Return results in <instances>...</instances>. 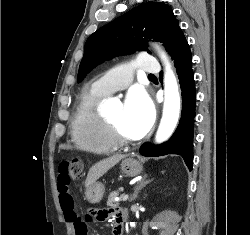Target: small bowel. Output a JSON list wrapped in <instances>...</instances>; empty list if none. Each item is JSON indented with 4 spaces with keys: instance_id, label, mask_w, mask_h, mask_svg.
Returning <instances> with one entry per match:
<instances>
[{
    "instance_id": "small-bowel-1",
    "label": "small bowel",
    "mask_w": 250,
    "mask_h": 235,
    "mask_svg": "<svg viewBox=\"0 0 250 235\" xmlns=\"http://www.w3.org/2000/svg\"><path fill=\"white\" fill-rule=\"evenodd\" d=\"M58 195L62 209L63 217L67 222H71L75 227V222L78 220L74 211L73 198L70 193V189H63L58 184ZM120 213L119 209L109 208L98 211V216L95 221H106L109 219L115 220Z\"/></svg>"
}]
</instances>
